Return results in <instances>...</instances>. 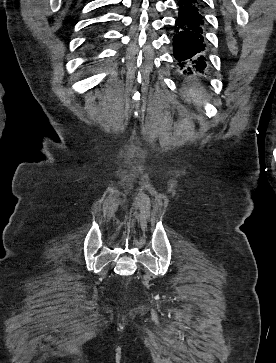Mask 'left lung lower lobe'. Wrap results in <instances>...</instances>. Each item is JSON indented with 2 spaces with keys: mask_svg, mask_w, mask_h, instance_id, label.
<instances>
[{
  "mask_svg": "<svg viewBox=\"0 0 276 363\" xmlns=\"http://www.w3.org/2000/svg\"><path fill=\"white\" fill-rule=\"evenodd\" d=\"M177 7L173 47L178 68L188 74L202 72L209 63L203 0H177Z\"/></svg>",
  "mask_w": 276,
  "mask_h": 363,
  "instance_id": "left-lung-lower-lobe-1",
  "label": "left lung lower lobe"
}]
</instances>
